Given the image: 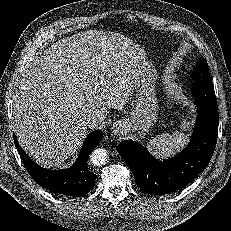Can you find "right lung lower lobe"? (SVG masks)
Wrapping results in <instances>:
<instances>
[{
	"label": "right lung lower lobe",
	"mask_w": 231,
	"mask_h": 231,
	"mask_svg": "<svg viewBox=\"0 0 231 231\" xmlns=\"http://www.w3.org/2000/svg\"><path fill=\"white\" fill-rule=\"evenodd\" d=\"M102 137L101 130L91 132L85 139L75 164L71 168L61 170L40 167L22 150L15 136L14 142L28 173L37 184L55 193L79 197L88 193L95 184L96 174L88 169L87 159Z\"/></svg>",
	"instance_id": "98d812e1"
}]
</instances>
